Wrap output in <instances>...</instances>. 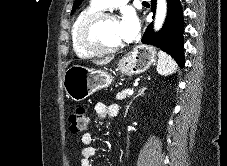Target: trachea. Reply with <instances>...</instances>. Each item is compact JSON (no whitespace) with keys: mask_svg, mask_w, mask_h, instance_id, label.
I'll return each instance as SVG.
<instances>
[{"mask_svg":"<svg viewBox=\"0 0 227 166\" xmlns=\"http://www.w3.org/2000/svg\"><path fill=\"white\" fill-rule=\"evenodd\" d=\"M144 4H148L147 2H143Z\"/></svg>","mask_w":227,"mask_h":166,"instance_id":"1","label":"trachea"}]
</instances>
